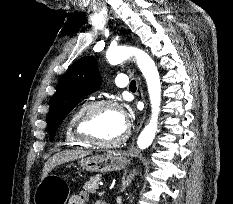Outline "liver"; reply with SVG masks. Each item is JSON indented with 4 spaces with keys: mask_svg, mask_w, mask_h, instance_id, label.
<instances>
[{
    "mask_svg": "<svg viewBox=\"0 0 233 204\" xmlns=\"http://www.w3.org/2000/svg\"><path fill=\"white\" fill-rule=\"evenodd\" d=\"M90 151H84V150H65L59 153H56L53 155L51 158L47 160V162L44 164L43 168V174H42V179L45 178L48 173L57 165L73 161L78 158H83L87 155H90Z\"/></svg>",
    "mask_w": 233,
    "mask_h": 204,
    "instance_id": "liver-1",
    "label": "liver"
}]
</instances>
